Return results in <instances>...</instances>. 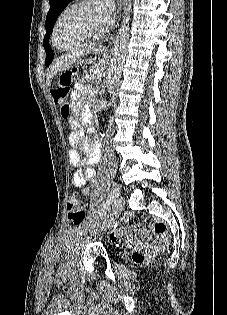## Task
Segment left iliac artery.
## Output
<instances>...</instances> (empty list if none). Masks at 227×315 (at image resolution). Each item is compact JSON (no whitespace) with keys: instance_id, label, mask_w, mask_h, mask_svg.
<instances>
[{"instance_id":"44dca946","label":"left iliac artery","mask_w":227,"mask_h":315,"mask_svg":"<svg viewBox=\"0 0 227 315\" xmlns=\"http://www.w3.org/2000/svg\"><path fill=\"white\" fill-rule=\"evenodd\" d=\"M116 196H117L116 193L113 192V190H112L111 193L109 194V196H108V198H107V200H106L102 210H101V213H100V218L101 219H103V218L105 219V217L107 215V212L110 210V207H111L112 203L116 199Z\"/></svg>"}]
</instances>
